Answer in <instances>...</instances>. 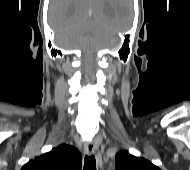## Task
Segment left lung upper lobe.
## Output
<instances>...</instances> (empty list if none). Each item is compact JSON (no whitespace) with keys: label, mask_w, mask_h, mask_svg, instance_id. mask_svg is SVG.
Listing matches in <instances>:
<instances>
[{"label":"left lung upper lobe","mask_w":190,"mask_h":170,"mask_svg":"<svg viewBox=\"0 0 190 170\" xmlns=\"http://www.w3.org/2000/svg\"><path fill=\"white\" fill-rule=\"evenodd\" d=\"M116 170H160L144 158H137L128 151H119L115 160Z\"/></svg>","instance_id":"left-lung-upper-lobe-1"}]
</instances>
